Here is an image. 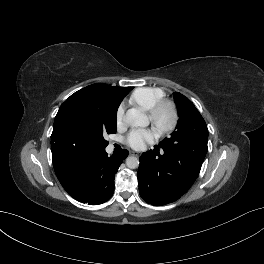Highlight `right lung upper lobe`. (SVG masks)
Returning a JSON list of instances; mask_svg holds the SVG:
<instances>
[{
	"instance_id": "cb5924a9",
	"label": "right lung upper lobe",
	"mask_w": 264,
	"mask_h": 264,
	"mask_svg": "<svg viewBox=\"0 0 264 264\" xmlns=\"http://www.w3.org/2000/svg\"><path fill=\"white\" fill-rule=\"evenodd\" d=\"M92 86H98V87H104L107 88L109 90H111L112 92H114L115 95L121 96V97H125L129 91H131L133 89V87H126V88H121V87H112L106 84H93ZM51 150H52V159H53V163H57L65 158H67L69 155V153L64 152L59 150L54 144H52L51 146Z\"/></svg>"
}]
</instances>
